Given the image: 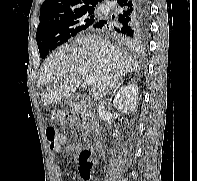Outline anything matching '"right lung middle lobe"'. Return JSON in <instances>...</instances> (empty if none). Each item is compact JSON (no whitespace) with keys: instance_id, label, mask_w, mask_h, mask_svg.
Segmentation results:
<instances>
[{"instance_id":"obj_1","label":"right lung middle lobe","mask_w":197,"mask_h":181,"mask_svg":"<svg viewBox=\"0 0 197 181\" xmlns=\"http://www.w3.org/2000/svg\"><path fill=\"white\" fill-rule=\"evenodd\" d=\"M94 6L81 7L40 20L36 33L40 57L45 58L51 50L67 42L78 32L92 27L98 21Z\"/></svg>"}]
</instances>
